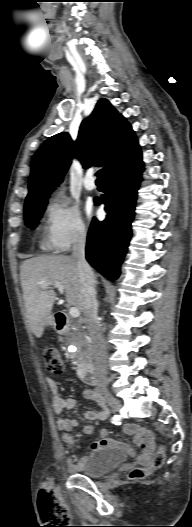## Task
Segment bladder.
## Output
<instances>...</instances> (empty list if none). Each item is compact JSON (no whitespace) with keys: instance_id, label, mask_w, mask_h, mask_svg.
Listing matches in <instances>:
<instances>
[{"instance_id":"obj_1","label":"bladder","mask_w":192,"mask_h":527,"mask_svg":"<svg viewBox=\"0 0 192 527\" xmlns=\"http://www.w3.org/2000/svg\"><path fill=\"white\" fill-rule=\"evenodd\" d=\"M125 459V452L119 448L110 446L96 447L77 462L76 469L86 477L99 478L111 473Z\"/></svg>"}]
</instances>
